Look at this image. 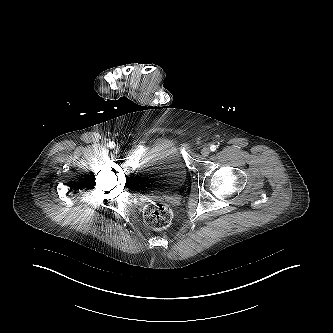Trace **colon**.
<instances>
[{"instance_id": "1", "label": "colon", "mask_w": 333, "mask_h": 333, "mask_svg": "<svg viewBox=\"0 0 333 333\" xmlns=\"http://www.w3.org/2000/svg\"><path fill=\"white\" fill-rule=\"evenodd\" d=\"M172 218L171 208L164 203H150L144 209V222L154 230L167 228L171 224Z\"/></svg>"}]
</instances>
